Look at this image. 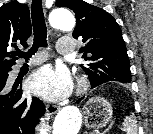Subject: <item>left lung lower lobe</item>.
<instances>
[{
    "instance_id": "0a47b994",
    "label": "left lung lower lobe",
    "mask_w": 153,
    "mask_h": 134,
    "mask_svg": "<svg viewBox=\"0 0 153 134\" xmlns=\"http://www.w3.org/2000/svg\"><path fill=\"white\" fill-rule=\"evenodd\" d=\"M91 88H94V87H91ZM81 99H82V98H81ZM81 99H80V100H81ZM80 100H78V101H77V103H79V102H80Z\"/></svg>"
}]
</instances>
